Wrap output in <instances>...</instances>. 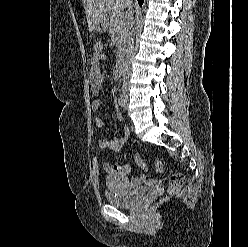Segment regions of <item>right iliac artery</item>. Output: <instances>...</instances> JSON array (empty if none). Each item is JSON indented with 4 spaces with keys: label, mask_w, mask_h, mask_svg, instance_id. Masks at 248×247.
<instances>
[{
    "label": "right iliac artery",
    "mask_w": 248,
    "mask_h": 247,
    "mask_svg": "<svg viewBox=\"0 0 248 247\" xmlns=\"http://www.w3.org/2000/svg\"><path fill=\"white\" fill-rule=\"evenodd\" d=\"M118 103H119V105H120L121 107H124V105H125V100H124V96H123L122 94L119 96Z\"/></svg>",
    "instance_id": "right-iliac-artery-1"
}]
</instances>
